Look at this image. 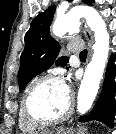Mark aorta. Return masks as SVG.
Instances as JSON below:
<instances>
[{"label": "aorta", "mask_w": 116, "mask_h": 134, "mask_svg": "<svg viewBox=\"0 0 116 134\" xmlns=\"http://www.w3.org/2000/svg\"><path fill=\"white\" fill-rule=\"evenodd\" d=\"M80 18H85L95 36L93 56L85 70L77 97V111L84 114L95 100L109 54V33L106 24L95 9L79 6L60 16L54 23L52 31L55 36H62L73 30Z\"/></svg>", "instance_id": "1"}]
</instances>
